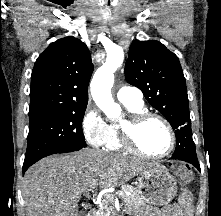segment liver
Listing matches in <instances>:
<instances>
[{
  "label": "liver",
  "mask_w": 221,
  "mask_h": 216,
  "mask_svg": "<svg viewBox=\"0 0 221 216\" xmlns=\"http://www.w3.org/2000/svg\"><path fill=\"white\" fill-rule=\"evenodd\" d=\"M154 166L148 161L92 149L43 158L24 176L26 215L79 216L78 202L89 189L123 185Z\"/></svg>",
  "instance_id": "liver-1"
}]
</instances>
